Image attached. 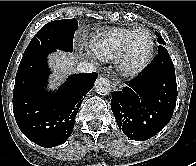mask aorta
Listing matches in <instances>:
<instances>
[{"label": "aorta", "instance_id": "1", "mask_svg": "<svg viewBox=\"0 0 196 166\" xmlns=\"http://www.w3.org/2000/svg\"><path fill=\"white\" fill-rule=\"evenodd\" d=\"M111 87L110 80L104 77L97 78L94 84L95 91L100 95H108L111 92Z\"/></svg>", "mask_w": 196, "mask_h": 166}]
</instances>
